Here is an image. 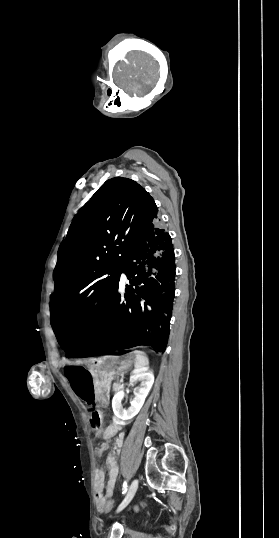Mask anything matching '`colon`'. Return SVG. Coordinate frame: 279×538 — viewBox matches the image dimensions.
<instances>
[{
    "instance_id": "obj_1",
    "label": "colon",
    "mask_w": 279,
    "mask_h": 538,
    "mask_svg": "<svg viewBox=\"0 0 279 538\" xmlns=\"http://www.w3.org/2000/svg\"><path fill=\"white\" fill-rule=\"evenodd\" d=\"M115 507V503L113 501H107L105 502L100 509L104 512L111 511Z\"/></svg>"
}]
</instances>
